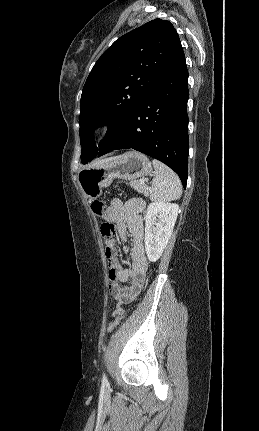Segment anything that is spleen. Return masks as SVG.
I'll return each instance as SVG.
<instances>
[{"label": "spleen", "mask_w": 259, "mask_h": 431, "mask_svg": "<svg viewBox=\"0 0 259 431\" xmlns=\"http://www.w3.org/2000/svg\"><path fill=\"white\" fill-rule=\"evenodd\" d=\"M155 175L152 180L151 200L174 201L182 195V185L178 175L164 163L153 159Z\"/></svg>", "instance_id": "spleen-1"}]
</instances>
